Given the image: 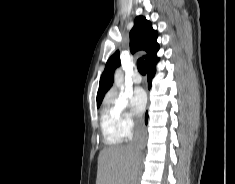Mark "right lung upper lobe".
<instances>
[{
    "instance_id": "cb5924a9",
    "label": "right lung upper lobe",
    "mask_w": 235,
    "mask_h": 184,
    "mask_svg": "<svg viewBox=\"0 0 235 184\" xmlns=\"http://www.w3.org/2000/svg\"><path fill=\"white\" fill-rule=\"evenodd\" d=\"M157 36V31L153 30L151 23L145 17L138 16L135 18L134 26L130 31V50L132 53L139 50L147 53L144 56L146 67L159 60L156 57V52L159 49ZM118 66H120V52L116 51L107 61L101 76L97 93V104H101L106 91L112 86L114 71Z\"/></svg>"
}]
</instances>
